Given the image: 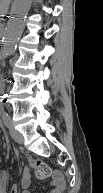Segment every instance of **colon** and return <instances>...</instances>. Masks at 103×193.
Listing matches in <instances>:
<instances>
[{
	"label": "colon",
	"mask_w": 103,
	"mask_h": 193,
	"mask_svg": "<svg viewBox=\"0 0 103 193\" xmlns=\"http://www.w3.org/2000/svg\"><path fill=\"white\" fill-rule=\"evenodd\" d=\"M32 166L37 179L46 180L55 174H52L50 167L42 161H33Z\"/></svg>",
	"instance_id": "1"
}]
</instances>
